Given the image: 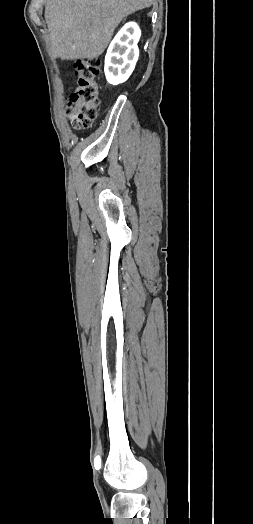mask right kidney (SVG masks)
Segmentation results:
<instances>
[{
    "mask_svg": "<svg viewBox=\"0 0 253 524\" xmlns=\"http://www.w3.org/2000/svg\"><path fill=\"white\" fill-rule=\"evenodd\" d=\"M141 31L134 22L125 24L110 43L105 56L104 72L112 85L125 82L132 74L139 57L137 43Z\"/></svg>",
    "mask_w": 253,
    "mask_h": 524,
    "instance_id": "right-kidney-1",
    "label": "right kidney"
}]
</instances>
